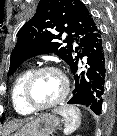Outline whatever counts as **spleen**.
I'll use <instances>...</instances> for the list:
<instances>
[{
	"mask_svg": "<svg viewBox=\"0 0 117 136\" xmlns=\"http://www.w3.org/2000/svg\"><path fill=\"white\" fill-rule=\"evenodd\" d=\"M55 112L64 118V134L69 135L73 133L81 124L80 109L73 105H63Z\"/></svg>",
	"mask_w": 117,
	"mask_h": 136,
	"instance_id": "1",
	"label": "spleen"
}]
</instances>
